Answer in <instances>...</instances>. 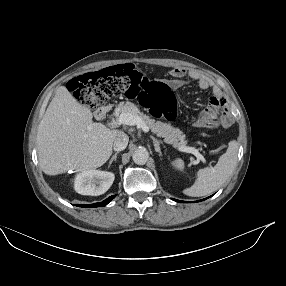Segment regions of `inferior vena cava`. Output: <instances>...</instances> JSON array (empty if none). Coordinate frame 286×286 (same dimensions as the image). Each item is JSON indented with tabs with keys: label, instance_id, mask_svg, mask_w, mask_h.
I'll return each mask as SVG.
<instances>
[{
	"label": "inferior vena cava",
	"instance_id": "1",
	"mask_svg": "<svg viewBox=\"0 0 286 286\" xmlns=\"http://www.w3.org/2000/svg\"><path fill=\"white\" fill-rule=\"evenodd\" d=\"M128 141L129 137L127 136V134H125L124 132L118 133L113 142V149L115 151L124 150L128 145Z\"/></svg>",
	"mask_w": 286,
	"mask_h": 286
}]
</instances>
